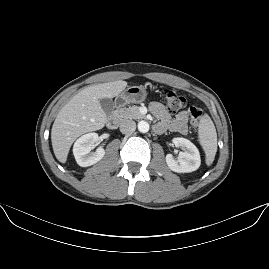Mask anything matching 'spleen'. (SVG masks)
Wrapping results in <instances>:
<instances>
[{
    "instance_id": "1",
    "label": "spleen",
    "mask_w": 269,
    "mask_h": 269,
    "mask_svg": "<svg viewBox=\"0 0 269 269\" xmlns=\"http://www.w3.org/2000/svg\"><path fill=\"white\" fill-rule=\"evenodd\" d=\"M199 128L201 143L207 153V164H211L217 150V135L209 116L205 115L202 117Z\"/></svg>"
}]
</instances>
